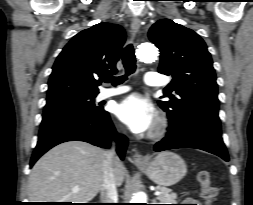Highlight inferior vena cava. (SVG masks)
Listing matches in <instances>:
<instances>
[{"mask_svg":"<svg viewBox=\"0 0 253 205\" xmlns=\"http://www.w3.org/2000/svg\"><path fill=\"white\" fill-rule=\"evenodd\" d=\"M115 158L116 154L114 149H111L105 153L103 181L100 189V199L102 203H117L118 200L113 167Z\"/></svg>","mask_w":253,"mask_h":205,"instance_id":"inferior-vena-cava-1","label":"inferior vena cava"}]
</instances>
